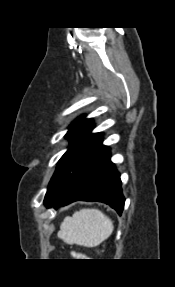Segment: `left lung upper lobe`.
I'll return each mask as SVG.
<instances>
[{"mask_svg":"<svg viewBox=\"0 0 175 287\" xmlns=\"http://www.w3.org/2000/svg\"><path fill=\"white\" fill-rule=\"evenodd\" d=\"M92 119L85 115L77 118L69 127L66 138L70 147L58 162L51 178L44 203L47 205L58 198L107 148L102 144L101 133H91Z\"/></svg>","mask_w":175,"mask_h":287,"instance_id":"left-lung-upper-lobe-1","label":"left lung upper lobe"}]
</instances>
